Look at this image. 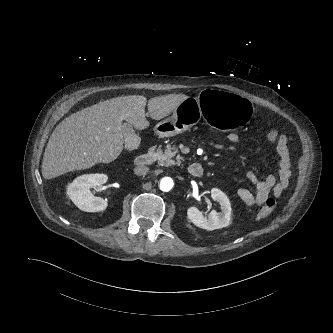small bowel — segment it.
I'll list each match as a JSON object with an SVG mask.
<instances>
[{"label": "small bowel", "mask_w": 333, "mask_h": 333, "mask_svg": "<svg viewBox=\"0 0 333 333\" xmlns=\"http://www.w3.org/2000/svg\"><path fill=\"white\" fill-rule=\"evenodd\" d=\"M230 144H236L239 136L235 132L227 135ZM276 142V151L279 156V175H268L266 179H259L252 170L246 171V177L254 187V190L240 188L238 195L240 199L248 206L262 205L266 198L272 194L279 197L288 187L291 177V162L288 139L286 135L279 134Z\"/></svg>", "instance_id": "c3829d8e"}]
</instances>
